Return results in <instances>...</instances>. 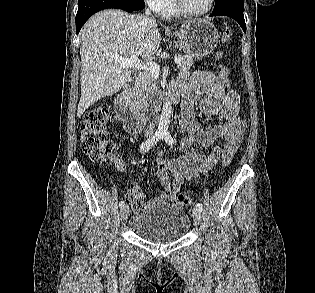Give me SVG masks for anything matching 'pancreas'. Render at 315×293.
<instances>
[{
  "mask_svg": "<svg viewBox=\"0 0 315 293\" xmlns=\"http://www.w3.org/2000/svg\"><path fill=\"white\" fill-rule=\"evenodd\" d=\"M182 61L177 65L179 70V78L188 79L190 76V69L194 64V61L190 57L179 56ZM151 94H158V88L154 81V77L150 72L145 73L135 85L132 94L129 97L130 103L140 109L145 111L148 104V98Z\"/></svg>",
  "mask_w": 315,
  "mask_h": 293,
  "instance_id": "1",
  "label": "pancreas"
}]
</instances>
